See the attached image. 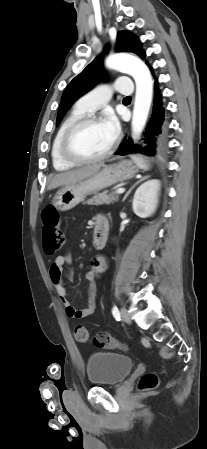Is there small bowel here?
<instances>
[{"label": "small bowel", "mask_w": 207, "mask_h": 449, "mask_svg": "<svg viewBox=\"0 0 207 449\" xmlns=\"http://www.w3.org/2000/svg\"><path fill=\"white\" fill-rule=\"evenodd\" d=\"M99 218L106 219L109 230L110 224L108 218L104 215H98L96 221ZM71 263H72V255L70 252L60 254L55 258V260L51 264L49 273L51 280L54 284V287L56 289V292L58 294V297L61 300L62 304L64 305L66 315L73 319H83L85 317L92 315L95 312L96 295H97L96 281L99 273L102 272L103 269L105 268V261L101 258H95L92 261L91 269L86 273V280L89 285V300L87 306L81 310H78L73 307L67 296V291L64 286L63 268L65 265H70ZM72 275L73 271L70 269L68 271V277L72 278Z\"/></svg>", "instance_id": "obj_1"}]
</instances>
